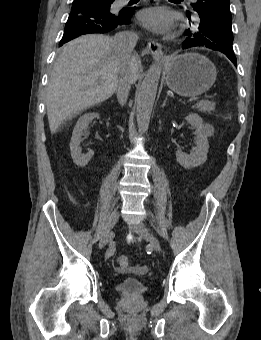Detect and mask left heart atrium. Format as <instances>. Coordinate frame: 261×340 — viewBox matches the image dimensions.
I'll list each match as a JSON object with an SVG mask.
<instances>
[{
    "instance_id": "left-heart-atrium-1",
    "label": "left heart atrium",
    "mask_w": 261,
    "mask_h": 340,
    "mask_svg": "<svg viewBox=\"0 0 261 340\" xmlns=\"http://www.w3.org/2000/svg\"><path fill=\"white\" fill-rule=\"evenodd\" d=\"M140 22L155 33L168 32L172 26L170 12L166 8H148L140 13Z\"/></svg>"
}]
</instances>
